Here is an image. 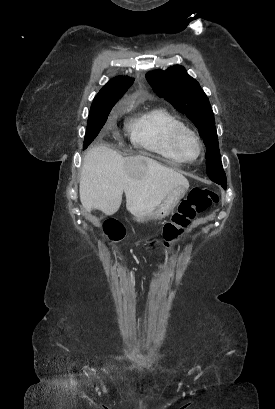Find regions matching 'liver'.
Listing matches in <instances>:
<instances>
[{
    "mask_svg": "<svg viewBox=\"0 0 275 409\" xmlns=\"http://www.w3.org/2000/svg\"><path fill=\"white\" fill-rule=\"evenodd\" d=\"M179 184L189 186L183 174L149 156H122L108 146H93L83 158L79 192L85 211L99 209L104 215L117 213L125 192L127 211L143 217Z\"/></svg>",
    "mask_w": 275,
    "mask_h": 409,
    "instance_id": "1",
    "label": "liver"
}]
</instances>
